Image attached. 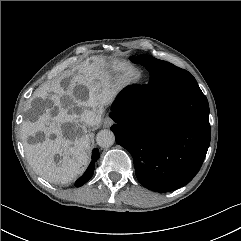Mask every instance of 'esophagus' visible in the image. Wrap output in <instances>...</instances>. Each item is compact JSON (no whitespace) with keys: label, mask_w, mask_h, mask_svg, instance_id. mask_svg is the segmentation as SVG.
Here are the masks:
<instances>
[{"label":"esophagus","mask_w":241,"mask_h":241,"mask_svg":"<svg viewBox=\"0 0 241 241\" xmlns=\"http://www.w3.org/2000/svg\"><path fill=\"white\" fill-rule=\"evenodd\" d=\"M113 123H114V121L110 117H106L103 120V126L104 127H110Z\"/></svg>","instance_id":"34e87169"}]
</instances>
